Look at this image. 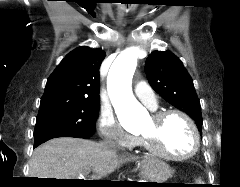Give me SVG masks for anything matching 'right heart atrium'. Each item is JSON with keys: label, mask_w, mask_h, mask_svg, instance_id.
Returning a JSON list of instances; mask_svg holds the SVG:
<instances>
[{"label": "right heart atrium", "mask_w": 240, "mask_h": 187, "mask_svg": "<svg viewBox=\"0 0 240 187\" xmlns=\"http://www.w3.org/2000/svg\"><path fill=\"white\" fill-rule=\"evenodd\" d=\"M97 125L101 139L107 144L129 148L138 143L137 138L123 131L110 111L101 112Z\"/></svg>", "instance_id": "right-heart-atrium-1"}]
</instances>
